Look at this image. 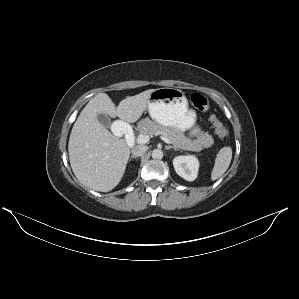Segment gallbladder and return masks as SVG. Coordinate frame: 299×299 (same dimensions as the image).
Segmentation results:
<instances>
[{
	"mask_svg": "<svg viewBox=\"0 0 299 299\" xmlns=\"http://www.w3.org/2000/svg\"><path fill=\"white\" fill-rule=\"evenodd\" d=\"M97 120L99 121L100 124H102L104 127H111V121L109 117L105 114H98Z\"/></svg>",
	"mask_w": 299,
	"mask_h": 299,
	"instance_id": "obj_1",
	"label": "gallbladder"
}]
</instances>
